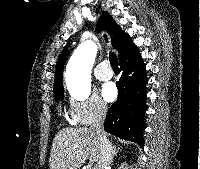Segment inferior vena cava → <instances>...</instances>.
<instances>
[{
	"label": "inferior vena cava",
	"mask_w": 200,
	"mask_h": 169,
	"mask_svg": "<svg viewBox=\"0 0 200 169\" xmlns=\"http://www.w3.org/2000/svg\"><path fill=\"white\" fill-rule=\"evenodd\" d=\"M107 114V107L100 105L97 109L96 118L91 126V129L97 134L99 146H100V157L97 161L96 169H108L113 160V148L106 136L104 131V121Z\"/></svg>",
	"instance_id": "1"
}]
</instances>
